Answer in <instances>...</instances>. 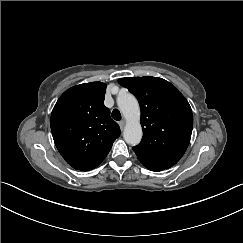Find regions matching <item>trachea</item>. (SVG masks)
<instances>
[{
    "instance_id": "trachea-1",
    "label": "trachea",
    "mask_w": 243,
    "mask_h": 243,
    "mask_svg": "<svg viewBox=\"0 0 243 243\" xmlns=\"http://www.w3.org/2000/svg\"><path fill=\"white\" fill-rule=\"evenodd\" d=\"M112 118L116 121H120L121 120V113L118 109H114L112 111Z\"/></svg>"
}]
</instances>
